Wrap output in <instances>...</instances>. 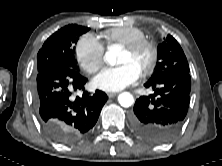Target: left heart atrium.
Segmentation results:
<instances>
[{
  "label": "left heart atrium",
  "mask_w": 222,
  "mask_h": 166,
  "mask_svg": "<svg viewBox=\"0 0 222 166\" xmlns=\"http://www.w3.org/2000/svg\"><path fill=\"white\" fill-rule=\"evenodd\" d=\"M140 77V71L131 63L116 67H106L94 78L93 85L103 91L117 92L135 83Z\"/></svg>",
  "instance_id": "39dd6f15"
}]
</instances>
